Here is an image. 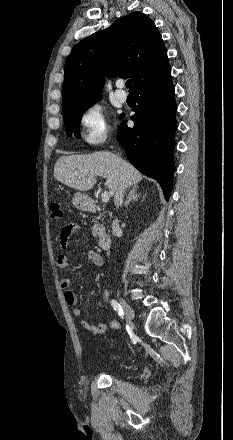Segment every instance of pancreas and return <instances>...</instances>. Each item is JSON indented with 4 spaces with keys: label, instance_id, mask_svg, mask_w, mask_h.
<instances>
[{
    "label": "pancreas",
    "instance_id": "1",
    "mask_svg": "<svg viewBox=\"0 0 233 440\" xmlns=\"http://www.w3.org/2000/svg\"><path fill=\"white\" fill-rule=\"evenodd\" d=\"M104 226L103 225H100L99 223H96V224H94V226L92 227V234H93V236H97V235H99L100 233H103L104 232Z\"/></svg>",
    "mask_w": 233,
    "mask_h": 440
}]
</instances>
